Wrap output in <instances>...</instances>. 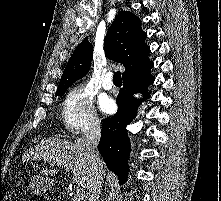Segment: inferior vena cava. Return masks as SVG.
<instances>
[{"label": "inferior vena cava", "instance_id": "602c4592", "mask_svg": "<svg viewBox=\"0 0 221 201\" xmlns=\"http://www.w3.org/2000/svg\"><path fill=\"white\" fill-rule=\"evenodd\" d=\"M84 136L87 142L88 155L91 164V174L88 185V201H98L103 179V165L97 149L101 136V127L99 119L94 118L90 121L87 129L84 132Z\"/></svg>", "mask_w": 221, "mask_h": 201}]
</instances>
